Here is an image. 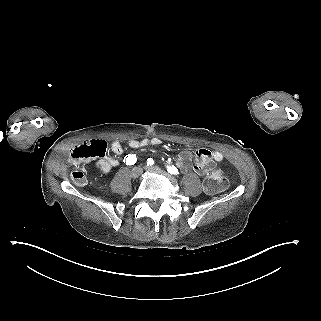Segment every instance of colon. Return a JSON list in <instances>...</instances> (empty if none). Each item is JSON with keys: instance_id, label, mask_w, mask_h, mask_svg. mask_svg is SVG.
I'll return each instance as SVG.
<instances>
[{"instance_id": "colon-1", "label": "colon", "mask_w": 321, "mask_h": 321, "mask_svg": "<svg viewBox=\"0 0 321 321\" xmlns=\"http://www.w3.org/2000/svg\"><path fill=\"white\" fill-rule=\"evenodd\" d=\"M103 152L101 146L96 144H85L75 147L71 156L75 159L99 156ZM77 185L85 184V175L81 171H74L71 175ZM228 185V180L220 169L212 170L204 179L203 187L207 193L214 194L224 190Z\"/></svg>"}]
</instances>
